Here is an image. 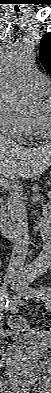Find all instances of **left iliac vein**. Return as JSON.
Here are the masks:
<instances>
[{"instance_id":"left-iliac-vein-1","label":"left iliac vein","mask_w":51,"mask_h":393,"mask_svg":"<svg viewBox=\"0 0 51 393\" xmlns=\"http://www.w3.org/2000/svg\"><path fill=\"white\" fill-rule=\"evenodd\" d=\"M12 289L15 290V292L21 296V297H26L25 291H24V286L20 285L18 283H14L11 285Z\"/></svg>"}]
</instances>
